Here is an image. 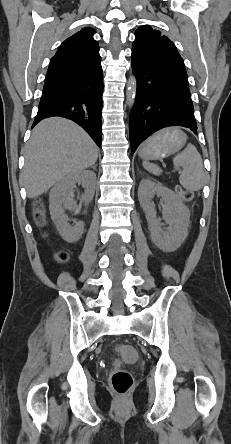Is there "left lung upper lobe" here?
Returning a JSON list of instances; mask_svg holds the SVG:
<instances>
[{
  "label": "left lung upper lobe",
  "mask_w": 231,
  "mask_h": 444,
  "mask_svg": "<svg viewBox=\"0 0 231 444\" xmlns=\"http://www.w3.org/2000/svg\"><path fill=\"white\" fill-rule=\"evenodd\" d=\"M132 55L145 60L167 63L187 76L183 59L174 43L149 25L141 26L136 30Z\"/></svg>",
  "instance_id": "left-lung-upper-lobe-1"
}]
</instances>
